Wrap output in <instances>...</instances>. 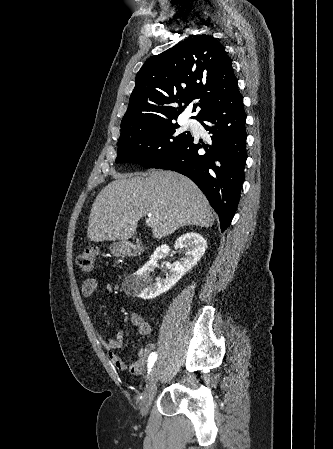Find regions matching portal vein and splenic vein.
Returning <instances> with one entry per match:
<instances>
[{"instance_id":"obj_1","label":"portal vein and splenic vein","mask_w":333,"mask_h":449,"mask_svg":"<svg viewBox=\"0 0 333 449\" xmlns=\"http://www.w3.org/2000/svg\"><path fill=\"white\" fill-rule=\"evenodd\" d=\"M151 216H152L151 214H148V219H147V221H146L147 224L150 223V218H151Z\"/></svg>"}]
</instances>
